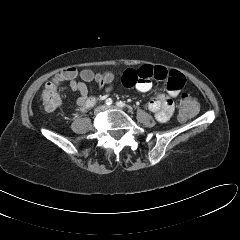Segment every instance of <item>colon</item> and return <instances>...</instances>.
<instances>
[{
	"label": "colon",
	"mask_w": 240,
	"mask_h": 240,
	"mask_svg": "<svg viewBox=\"0 0 240 240\" xmlns=\"http://www.w3.org/2000/svg\"><path fill=\"white\" fill-rule=\"evenodd\" d=\"M78 72L75 68H68L61 72L55 80L46 84L43 93L42 101L46 110L53 111L60 105V96L57 92V85L60 81L70 80L75 78ZM198 109L197 100L189 94H183L180 99V118L188 120L195 116Z\"/></svg>",
	"instance_id": "obj_1"
}]
</instances>
